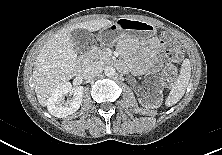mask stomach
Returning a JSON list of instances; mask_svg holds the SVG:
<instances>
[{"label": "stomach", "mask_w": 222, "mask_h": 155, "mask_svg": "<svg viewBox=\"0 0 222 155\" xmlns=\"http://www.w3.org/2000/svg\"><path fill=\"white\" fill-rule=\"evenodd\" d=\"M156 35V27L146 21L120 18L116 23L102 29L98 40L102 45H113L124 39H129L138 45Z\"/></svg>", "instance_id": "stomach-1"}]
</instances>
